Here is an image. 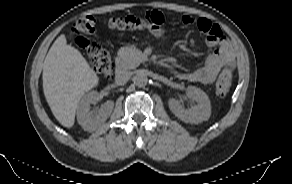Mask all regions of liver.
<instances>
[{"mask_svg": "<svg viewBox=\"0 0 292 184\" xmlns=\"http://www.w3.org/2000/svg\"><path fill=\"white\" fill-rule=\"evenodd\" d=\"M43 91L55 118L64 127L74 125L81 97L97 86L99 78L86 59L60 35L43 63Z\"/></svg>", "mask_w": 292, "mask_h": 184, "instance_id": "liver-1", "label": "liver"}]
</instances>
